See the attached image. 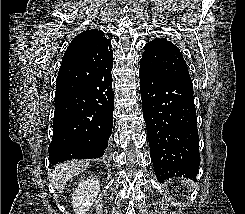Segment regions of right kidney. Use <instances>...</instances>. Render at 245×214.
<instances>
[{
  "label": "right kidney",
  "instance_id": "obj_1",
  "mask_svg": "<svg viewBox=\"0 0 245 214\" xmlns=\"http://www.w3.org/2000/svg\"><path fill=\"white\" fill-rule=\"evenodd\" d=\"M100 191V182L96 178L86 179L78 184L72 194V206L75 214L89 211Z\"/></svg>",
  "mask_w": 245,
  "mask_h": 214
}]
</instances>
